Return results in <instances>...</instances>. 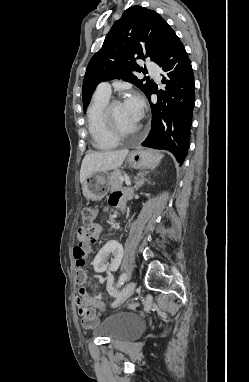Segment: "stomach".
Listing matches in <instances>:
<instances>
[{
    "label": "stomach",
    "mask_w": 249,
    "mask_h": 382,
    "mask_svg": "<svg viewBox=\"0 0 249 382\" xmlns=\"http://www.w3.org/2000/svg\"><path fill=\"white\" fill-rule=\"evenodd\" d=\"M161 156L152 149H136L129 153L127 163L137 169L155 168ZM108 174L102 171L87 176L82 184V193L87 200L100 201L109 191Z\"/></svg>",
    "instance_id": "obj_1"
}]
</instances>
